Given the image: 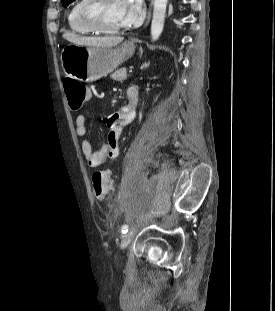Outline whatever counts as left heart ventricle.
Segmentation results:
<instances>
[{"label": "left heart ventricle", "instance_id": "1", "mask_svg": "<svg viewBox=\"0 0 275 311\" xmlns=\"http://www.w3.org/2000/svg\"><path fill=\"white\" fill-rule=\"evenodd\" d=\"M124 6L122 0H108L99 13V20L105 27L124 26Z\"/></svg>", "mask_w": 275, "mask_h": 311}]
</instances>
